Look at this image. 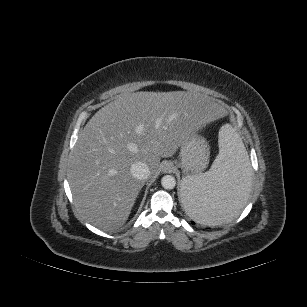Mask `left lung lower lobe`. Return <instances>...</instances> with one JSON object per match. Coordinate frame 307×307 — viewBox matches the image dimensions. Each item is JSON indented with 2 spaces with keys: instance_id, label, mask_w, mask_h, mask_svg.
Here are the masks:
<instances>
[{
  "instance_id": "left-lung-lower-lobe-1",
  "label": "left lung lower lobe",
  "mask_w": 307,
  "mask_h": 307,
  "mask_svg": "<svg viewBox=\"0 0 307 307\" xmlns=\"http://www.w3.org/2000/svg\"><path fill=\"white\" fill-rule=\"evenodd\" d=\"M236 177L240 178L241 172H238L236 174ZM240 204H241V202H240L238 193H236L235 191H231V192H228L223 197V199L221 201L220 210H221L222 214H224V215H231L238 210V208L240 207ZM192 224H194L193 221H192Z\"/></svg>"
}]
</instances>
